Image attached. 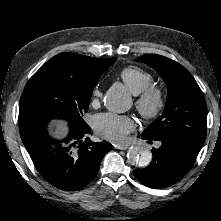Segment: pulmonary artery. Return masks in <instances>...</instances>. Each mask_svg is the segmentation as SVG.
<instances>
[{
  "label": "pulmonary artery",
  "mask_w": 221,
  "mask_h": 221,
  "mask_svg": "<svg viewBox=\"0 0 221 221\" xmlns=\"http://www.w3.org/2000/svg\"><path fill=\"white\" fill-rule=\"evenodd\" d=\"M157 147H159L160 146V143H157V145H156Z\"/></svg>",
  "instance_id": "obj_1"
}]
</instances>
